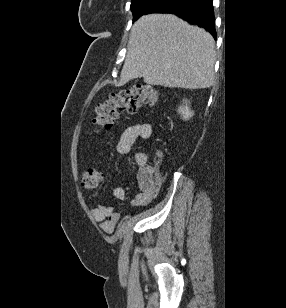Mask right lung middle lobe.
<instances>
[{"label":"right lung middle lobe","mask_w":286,"mask_h":308,"mask_svg":"<svg viewBox=\"0 0 286 308\" xmlns=\"http://www.w3.org/2000/svg\"><path fill=\"white\" fill-rule=\"evenodd\" d=\"M168 1L169 0H132L130 9L133 12V21L144 14L153 12Z\"/></svg>","instance_id":"right-lung-middle-lobe-1"}]
</instances>
